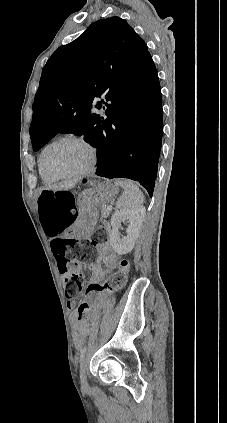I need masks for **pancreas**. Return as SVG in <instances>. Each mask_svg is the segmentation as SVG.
Wrapping results in <instances>:
<instances>
[{
  "mask_svg": "<svg viewBox=\"0 0 227 423\" xmlns=\"http://www.w3.org/2000/svg\"><path fill=\"white\" fill-rule=\"evenodd\" d=\"M108 206H102L101 208V219L102 217H107L109 215L110 211L107 210Z\"/></svg>",
  "mask_w": 227,
  "mask_h": 423,
  "instance_id": "cf45deb5",
  "label": "pancreas"
}]
</instances>
